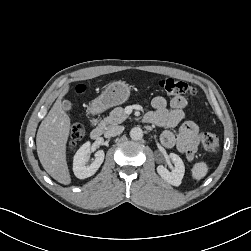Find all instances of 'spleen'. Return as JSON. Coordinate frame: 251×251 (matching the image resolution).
Instances as JSON below:
<instances>
[{"instance_id": "3e777b00", "label": "spleen", "mask_w": 251, "mask_h": 251, "mask_svg": "<svg viewBox=\"0 0 251 251\" xmlns=\"http://www.w3.org/2000/svg\"><path fill=\"white\" fill-rule=\"evenodd\" d=\"M207 172H208L207 165L204 162H199V163H196L193 166L192 176H193L194 179L200 180L203 177H205V175L207 174Z\"/></svg>"}]
</instances>
